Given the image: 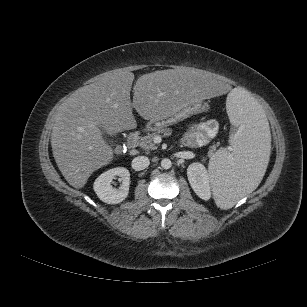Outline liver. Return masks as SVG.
<instances>
[{
	"instance_id": "obj_1",
	"label": "liver",
	"mask_w": 307,
	"mask_h": 307,
	"mask_svg": "<svg viewBox=\"0 0 307 307\" xmlns=\"http://www.w3.org/2000/svg\"><path fill=\"white\" fill-rule=\"evenodd\" d=\"M133 80V73L121 69L106 72L59 107L51 146L59 170L74 188H83L91 174L113 158L100 126L117 134L136 127L133 108L149 120L229 91L226 83L202 70L180 67L140 76L131 103Z\"/></svg>"
}]
</instances>
